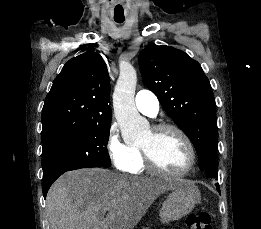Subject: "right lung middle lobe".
I'll return each mask as SVG.
<instances>
[{
  "label": "right lung middle lobe",
  "instance_id": "dd1d6c3e",
  "mask_svg": "<svg viewBox=\"0 0 261 229\" xmlns=\"http://www.w3.org/2000/svg\"><path fill=\"white\" fill-rule=\"evenodd\" d=\"M110 124L93 125L70 140L43 149V177L80 168L110 167L106 148Z\"/></svg>",
  "mask_w": 261,
  "mask_h": 229
}]
</instances>
